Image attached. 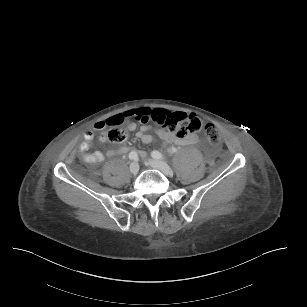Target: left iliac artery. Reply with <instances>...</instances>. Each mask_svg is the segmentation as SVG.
Wrapping results in <instances>:
<instances>
[{"mask_svg": "<svg viewBox=\"0 0 307 307\" xmlns=\"http://www.w3.org/2000/svg\"><path fill=\"white\" fill-rule=\"evenodd\" d=\"M176 152V151H174ZM151 156L154 158V159H163V155L159 152V151H153L151 153Z\"/></svg>", "mask_w": 307, "mask_h": 307, "instance_id": "44dca946", "label": "left iliac artery"}]
</instances>
